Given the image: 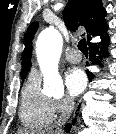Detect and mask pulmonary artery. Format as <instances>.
Returning <instances> with one entry per match:
<instances>
[{
  "mask_svg": "<svg viewBox=\"0 0 116 134\" xmlns=\"http://www.w3.org/2000/svg\"><path fill=\"white\" fill-rule=\"evenodd\" d=\"M66 60L71 63H77L81 61V55L74 49L68 51L65 55Z\"/></svg>",
  "mask_w": 116,
  "mask_h": 134,
  "instance_id": "obj_1",
  "label": "pulmonary artery"
}]
</instances>
